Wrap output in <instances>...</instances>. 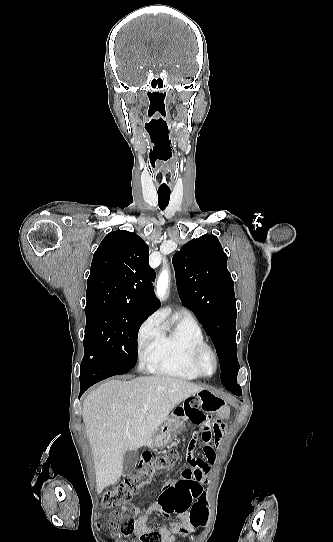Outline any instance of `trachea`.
Returning a JSON list of instances; mask_svg holds the SVG:
<instances>
[{"label":"trachea","mask_w":333,"mask_h":542,"mask_svg":"<svg viewBox=\"0 0 333 542\" xmlns=\"http://www.w3.org/2000/svg\"><path fill=\"white\" fill-rule=\"evenodd\" d=\"M170 201V190L169 189H158V205L160 210H165Z\"/></svg>","instance_id":"1"}]
</instances>
